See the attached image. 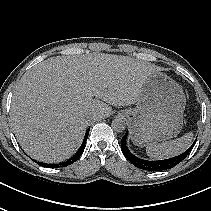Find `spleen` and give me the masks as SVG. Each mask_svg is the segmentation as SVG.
<instances>
[{
	"instance_id": "spleen-1",
	"label": "spleen",
	"mask_w": 211,
	"mask_h": 211,
	"mask_svg": "<svg viewBox=\"0 0 211 211\" xmlns=\"http://www.w3.org/2000/svg\"><path fill=\"white\" fill-rule=\"evenodd\" d=\"M193 133L188 132L182 137L147 146L146 153L151 159H165L181 154L190 147Z\"/></svg>"
}]
</instances>
